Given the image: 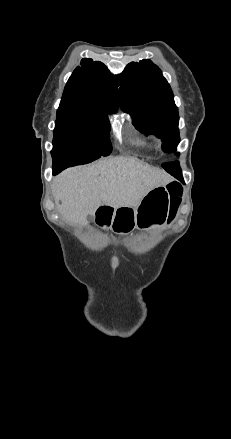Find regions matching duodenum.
<instances>
[{
  "label": "duodenum",
  "instance_id": "obj_1",
  "mask_svg": "<svg viewBox=\"0 0 231 439\" xmlns=\"http://www.w3.org/2000/svg\"><path fill=\"white\" fill-rule=\"evenodd\" d=\"M101 210H102L103 212L106 211V210H107V206H102ZM103 217H104V215H103Z\"/></svg>",
  "mask_w": 231,
  "mask_h": 439
}]
</instances>
